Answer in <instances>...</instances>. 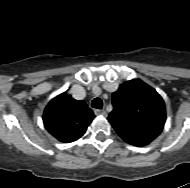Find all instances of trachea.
Returning a JSON list of instances; mask_svg holds the SVG:
<instances>
[{
  "label": "trachea",
  "instance_id": "trachea-1",
  "mask_svg": "<svg viewBox=\"0 0 190 188\" xmlns=\"http://www.w3.org/2000/svg\"><path fill=\"white\" fill-rule=\"evenodd\" d=\"M91 106L93 108H96V109H102L103 107V102L100 98H95L92 103H91Z\"/></svg>",
  "mask_w": 190,
  "mask_h": 188
}]
</instances>
